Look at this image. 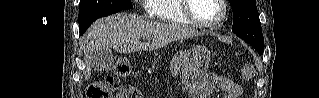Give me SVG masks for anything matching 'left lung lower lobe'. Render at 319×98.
Segmentation results:
<instances>
[{"mask_svg": "<svg viewBox=\"0 0 319 98\" xmlns=\"http://www.w3.org/2000/svg\"><path fill=\"white\" fill-rule=\"evenodd\" d=\"M257 51H258V50H257ZM258 53L262 54V53H263V51H258Z\"/></svg>", "mask_w": 319, "mask_h": 98, "instance_id": "1", "label": "left lung lower lobe"}]
</instances>
